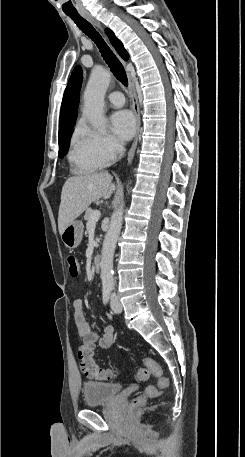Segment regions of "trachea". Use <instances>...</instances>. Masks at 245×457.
I'll return each instance as SVG.
<instances>
[{
    "instance_id": "1",
    "label": "trachea",
    "mask_w": 245,
    "mask_h": 457,
    "mask_svg": "<svg viewBox=\"0 0 245 457\" xmlns=\"http://www.w3.org/2000/svg\"><path fill=\"white\" fill-rule=\"evenodd\" d=\"M68 17H70L76 25L84 32L89 38H91L99 48L102 57L104 58L105 62L110 67V70L115 75L117 80L121 82L126 87L128 86V79L126 76L125 69L122 63L118 60V58L114 55L112 50L108 47L105 43L101 35L95 30V28L85 20V18L81 17L79 13H66Z\"/></svg>"
}]
</instances>
